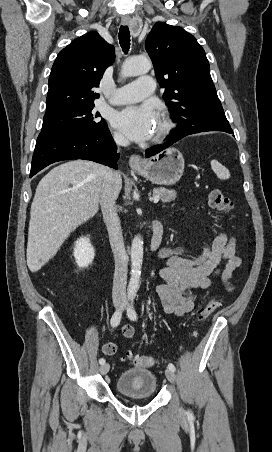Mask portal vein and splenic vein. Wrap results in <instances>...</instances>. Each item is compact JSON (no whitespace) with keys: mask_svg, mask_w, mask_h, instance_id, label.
<instances>
[{"mask_svg":"<svg viewBox=\"0 0 272 452\" xmlns=\"http://www.w3.org/2000/svg\"><path fill=\"white\" fill-rule=\"evenodd\" d=\"M159 199H160V196H159V195H155V196L153 197V202H154V203H158Z\"/></svg>","mask_w":272,"mask_h":452,"instance_id":"portal-vein-and-splenic-vein-1","label":"portal vein and splenic vein"}]
</instances>
